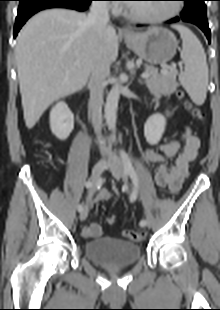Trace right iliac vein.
<instances>
[{
	"label": "right iliac vein",
	"mask_w": 220,
	"mask_h": 310,
	"mask_svg": "<svg viewBox=\"0 0 220 310\" xmlns=\"http://www.w3.org/2000/svg\"><path fill=\"white\" fill-rule=\"evenodd\" d=\"M102 172H103V163L99 162L94 166L91 173L90 181L92 183V186L89 189L88 199H91V197L93 196L95 185L99 181ZM87 215H88V206L86 205L80 212V220L84 221L87 218Z\"/></svg>",
	"instance_id": "63e3f726"
}]
</instances>
